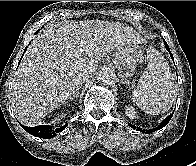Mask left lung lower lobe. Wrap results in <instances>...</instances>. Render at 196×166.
Returning <instances> with one entry per match:
<instances>
[{"mask_svg":"<svg viewBox=\"0 0 196 166\" xmlns=\"http://www.w3.org/2000/svg\"><path fill=\"white\" fill-rule=\"evenodd\" d=\"M164 44H165L166 49L169 51V53H170V55H171V58L174 60L173 55H172V53L170 52L169 46L167 45L166 41H164ZM172 115H173V113L170 114L167 118H165L157 128H154V129H151V130H145V129H142V128H140V127H136V126H134V125H132V124H130V123H129V126H130L131 128H134V129L138 130V131H141V132H143V133H149V134H150L151 132H154L155 130H158V129H160V128L166 126L167 123L171 120Z\"/></svg>","mask_w":196,"mask_h":166,"instance_id":"left-lung-lower-lobe-1","label":"left lung lower lobe"}]
</instances>
